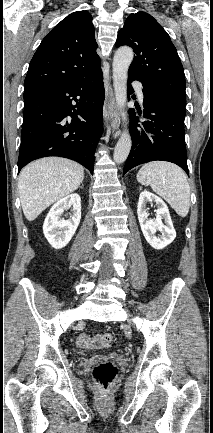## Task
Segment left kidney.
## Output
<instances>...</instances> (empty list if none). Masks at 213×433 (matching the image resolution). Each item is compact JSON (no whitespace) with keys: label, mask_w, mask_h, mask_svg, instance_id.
<instances>
[{"label":"left kidney","mask_w":213,"mask_h":433,"mask_svg":"<svg viewBox=\"0 0 213 433\" xmlns=\"http://www.w3.org/2000/svg\"><path fill=\"white\" fill-rule=\"evenodd\" d=\"M147 202H155L157 205L155 221L148 220ZM137 214L143 235L153 248L158 250L163 249L176 238V231L173 227L168 207L158 196L146 190L141 192ZM162 219L165 220V224H163ZM157 231H160L161 235L156 236Z\"/></svg>","instance_id":"left-kidney-1"}]
</instances>
